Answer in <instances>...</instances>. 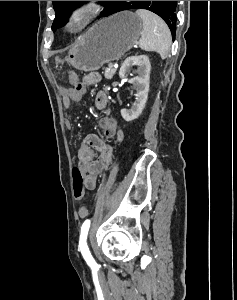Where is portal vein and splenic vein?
Listing matches in <instances>:
<instances>
[{"mask_svg": "<svg viewBox=\"0 0 237 300\" xmlns=\"http://www.w3.org/2000/svg\"><path fill=\"white\" fill-rule=\"evenodd\" d=\"M109 64H110V65H109L108 67L111 69V68L113 67V66L111 65L112 63L110 62Z\"/></svg>", "mask_w": 237, "mask_h": 300, "instance_id": "1", "label": "portal vein and splenic vein"}]
</instances>
